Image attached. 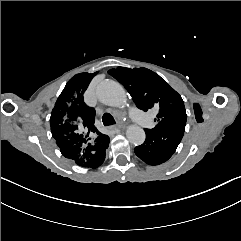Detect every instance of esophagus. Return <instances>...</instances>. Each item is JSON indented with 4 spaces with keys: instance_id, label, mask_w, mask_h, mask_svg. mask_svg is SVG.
<instances>
[{
    "instance_id": "34e87169",
    "label": "esophagus",
    "mask_w": 241,
    "mask_h": 241,
    "mask_svg": "<svg viewBox=\"0 0 241 241\" xmlns=\"http://www.w3.org/2000/svg\"><path fill=\"white\" fill-rule=\"evenodd\" d=\"M124 126H125L124 124H118V125H116L114 128L121 129V128H123Z\"/></svg>"
}]
</instances>
